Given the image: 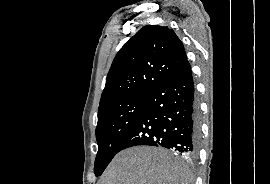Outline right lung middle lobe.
Returning a JSON list of instances; mask_svg holds the SVG:
<instances>
[{
  "label": "right lung middle lobe",
  "instance_id": "1",
  "mask_svg": "<svg viewBox=\"0 0 270 184\" xmlns=\"http://www.w3.org/2000/svg\"><path fill=\"white\" fill-rule=\"evenodd\" d=\"M146 100L147 96H131L112 102L98 111L96 139L99 148L94 165L96 176L103 173L119 152V146L143 112Z\"/></svg>",
  "mask_w": 270,
  "mask_h": 184
}]
</instances>
